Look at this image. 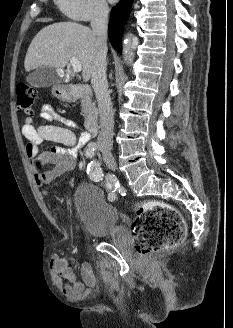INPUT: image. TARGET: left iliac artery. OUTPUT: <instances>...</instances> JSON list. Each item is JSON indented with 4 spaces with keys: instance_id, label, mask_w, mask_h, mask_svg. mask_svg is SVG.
Returning a JSON list of instances; mask_svg holds the SVG:
<instances>
[{
    "instance_id": "44dca946",
    "label": "left iliac artery",
    "mask_w": 233,
    "mask_h": 328,
    "mask_svg": "<svg viewBox=\"0 0 233 328\" xmlns=\"http://www.w3.org/2000/svg\"><path fill=\"white\" fill-rule=\"evenodd\" d=\"M87 174H89V177L96 182H99L103 178V172L100 168V165L98 162L92 161L87 168Z\"/></svg>"
}]
</instances>
